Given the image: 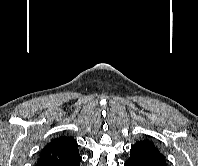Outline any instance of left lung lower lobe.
Returning <instances> with one entry per match:
<instances>
[{
  "label": "left lung lower lobe",
  "mask_w": 198,
  "mask_h": 166,
  "mask_svg": "<svg viewBox=\"0 0 198 166\" xmlns=\"http://www.w3.org/2000/svg\"><path fill=\"white\" fill-rule=\"evenodd\" d=\"M124 165H125V166H151V165L142 163V162L136 160V159L133 158V157H129V159L125 162Z\"/></svg>",
  "instance_id": "1"
}]
</instances>
